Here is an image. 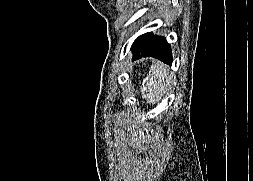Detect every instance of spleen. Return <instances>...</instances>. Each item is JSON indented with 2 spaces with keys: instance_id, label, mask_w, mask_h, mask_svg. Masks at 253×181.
<instances>
[{
  "instance_id": "1",
  "label": "spleen",
  "mask_w": 253,
  "mask_h": 181,
  "mask_svg": "<svg viewBox=\"0 0 253 181\" xmlns=\"http://www.w3.org/2000/svg\"><path fill=\"white\" fill-rule=\"evenodd\" d=\"M169 81V73L167 67L162 63H154L150 67V74L144 80L141 88L143 98L147 103L158 102L166 90Z\"/></svg>"
}]
</instances>
